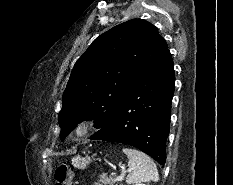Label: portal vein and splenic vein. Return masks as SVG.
<instances>
[{
  "instance_id": "obj_1",
  "label": "portal vein and splenic vein",
  "mask_w": 233,
  "mask_h": 185,
  "mask_svg": "<svg viewBox=\"0 0 233 185\" xmlns=\"http://www.w3.org/2000/svg\"><path fill=\"white\" fill-rule=\"evenodd\" d=\"M124 176H125V172H122L119 176H117L116 180L121 181L124 179Z\"/></svg>"
}]
</instances>
